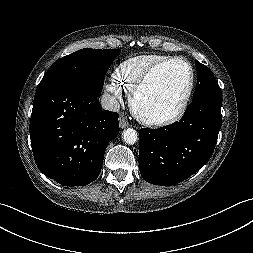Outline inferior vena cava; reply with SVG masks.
<instances>
[{"instance_id": "602c4592", "label": "inferior vena cava", "mask_w": 253, "mask_h": 253, "mask_svg": "<svg viewBox=\"0 0 253 253\" xmlns=\"http://www.w3.org/2000/svg\"><path fill=\"white\" fill-rule=\"evenodd\" d=\"M101 106L105 110L117 112L120 109L118 100L111 94L104 93L101 97Z\"/></svg>"}]
</instances>
